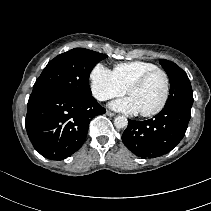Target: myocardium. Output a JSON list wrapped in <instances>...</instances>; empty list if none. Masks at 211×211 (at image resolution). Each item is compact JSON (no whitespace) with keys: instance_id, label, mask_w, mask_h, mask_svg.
I'll return each instance as SVG.
<instances>
[{"instance_id":"f54148a6","label":"myocardium","mask_w":211,"mask_h":211,"mask_svg":"<svg viewBox=\"0 0 211 211\" xmlns=\"http://www.w3.org/2000/svg\"><path fill=\"white\" fill-rule=\"evenodd\" d=\"M155 74H162L165 78V93L164 97L161 101V103L153 110L148 111V112H140V115L143 117H153L157 114H159L166 106L169 96H170V90H171V81L168 73L165 70L162 69H154L151 70L142 76H140L138 79H136L133 83L130 84V86L127 88V93L130 95V93L142 85H144L149 78H151Z\"/></svg>"}]
</instances>
